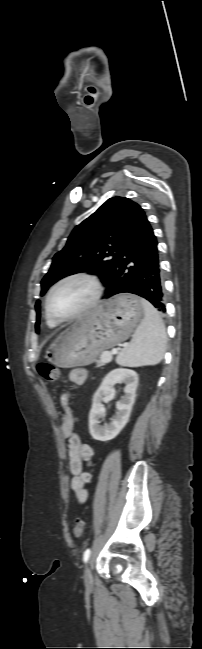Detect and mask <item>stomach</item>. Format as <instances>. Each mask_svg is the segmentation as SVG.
I'll return each instance as SVG.
<instances>
[{"label": "stomach", "instance_id": "obj_1", "mask_svg": "<svg viewBox=\"0 0 202 649\" xmlns=\"http://www.w3.org/2000/svg\"><path fill=\"white\" fill-rule=\"evenodd\" d=\"M144 314L139 297L113 296L61 332L46 349L45 358L61 368L88 365L102 351L126 340Z\"/></svg>", "mask_w": 202, "mask_h": 649}]
</instances>
